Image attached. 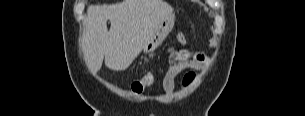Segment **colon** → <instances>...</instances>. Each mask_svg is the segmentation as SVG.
I'll list each match as a JSON object with an SVG mask.
<instances>
[{"label":"colon","instance_id":"colon-1","mask_svg":"<svg viewBox=\"0 0 305 116\" xmlns=\"http://www.w3.org/2000/svg\"><path fill=\"white\" fill-rule=\"evenodd\" d=\"M178 41L181 44L186 43V36L183 33L178 34ZM193 74L189 73L186 76L191 77ZM155 81V74L153 72H147L141 78L135 80L131 84V91L136 96H141Z\"/></svg>","mask_w":305,"mask_h":116}]
</instances>
